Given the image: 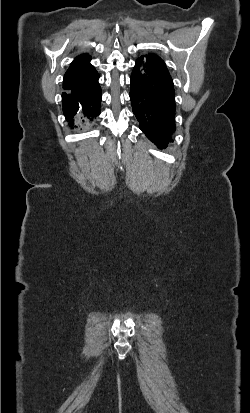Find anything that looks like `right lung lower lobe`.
Listing matches in <instances>:
<instances>
[{"label": "right lung lower lobe", "mask_w": 250, "mask_h": 413, "mask_svg": "<svg viewBox=\"0 0 250 413\" xmlns=\"http://www.w3.org/2000/svg\"><path fill=\"white\" fill-rule=\"evenodd\" d=\"M95 71L89 78L77 84L63 83V113L70 127L88 126L100 114L101 88Z\"/></svg>", "instance_id": "right-lung-lower-lobe-1"}]
</instances>
